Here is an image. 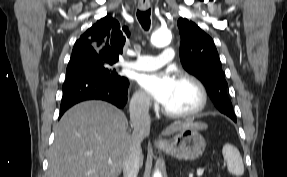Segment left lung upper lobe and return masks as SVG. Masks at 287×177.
I'll return each instance as SVG.
<instances>
[{"label": "left lung upper lobe", "mask_w": 287, "mask_h": 177, "mask_svg": "<svg viewBox=\"0 0 287 177\" xmlns=\"http://www.w3.org/2000/svg\"><path fill=\"white\" fill-rule=\"evenodd\" d=\"M180 59L184 69L206 87L216 108L227 116H235L227 96V82L214 41L194 22L180 18Z\"/></svg>", "instance_id": "1"}]
</instances>
